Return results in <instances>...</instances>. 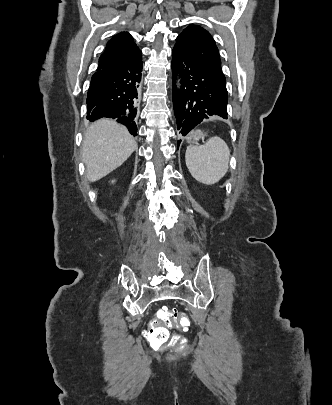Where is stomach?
I'll list each match as a JSON object with an SVG mask.
<instances>
[{
    "label": "stomach",
    "mask_w": 332,
    "mask_h": 405,
    "mask_svg": "<svg viewBox=\"0 0 332 405\" xmlns=\"http://www.w3.org/2000/svg\"><path fill=\"white\" fill-rule=\"evenodd\" d=\"M205 136L206 134L203 133L201 130H196L187 138V142L190 144H194L197 143L200 139L204 140Z\"/></svg>",
    "instance_id": "stomach-1"
}]
</instances>
